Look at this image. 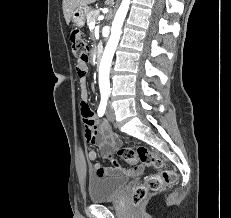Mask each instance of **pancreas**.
<instances>
[{
	"label": "pancreas",
	"instance_id": "pancreas-1",
	"mask_svg": "<svg viewBox=\"0 0 231 218\" xmlns=\"http://www.w3.org/2000/svg\"><path fill=\"white\" fill-rule=\"evenodd\" d=\"M98 15H99V10H89V12L86 15L87 25L89 26L91 22H95Z\"/></svg>",
	"mask_w": 231,
	"mask_h": 218
}]
</instances>
